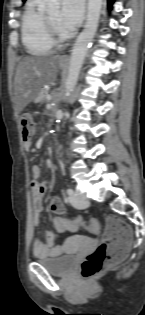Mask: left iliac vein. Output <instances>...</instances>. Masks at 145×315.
Wrapping results in <instances>:
<instances>
[{
    "label": "left iliac vein",
    "mask_w": 145,
    "mask_h": 315,
    "mask_svg": "<svg viewBox=\"0 0 145 315\" xmlns=\"http://www.w3.org/2000/svg\"><path fill=\"white\" fill-rule=\"evenodd\" d=\"M69 200L75 208L83 209L89 205L88 198L76 192L69 196Z\"/></svg>",
    "instance_id": "obj_1"
}]
</instances>
